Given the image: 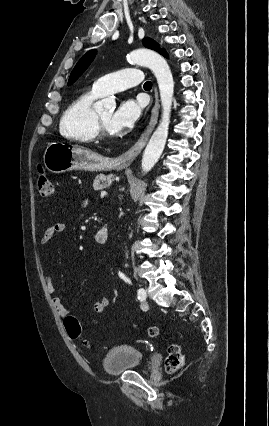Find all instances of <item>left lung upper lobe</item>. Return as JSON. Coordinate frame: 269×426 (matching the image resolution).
<instances>
[{"label":"left lung upper lobe","mask_w":269,"mask_h":426,"mask_svg":"<svg viewBox=\"0 0 269 426\" xmlns=\"http://www.w3.org/2000/svg\"><path fill=\"white\" fill-rule=\"evenodd\" d=\"M144 46L150 49H153L155 51L160 52L162 49H160V46L153 41L150 38H145L144 39ZM96 50H90L88 51L77 63V65L75 66V68L73 69L68 84H72L74 83L79 76L82 75V73L88 68V66L91 64V62L93 61V59L95 58L96 55Z\"/></svg>","instance_id":"left-lung-upper-lobe-1"}]
</instances>
